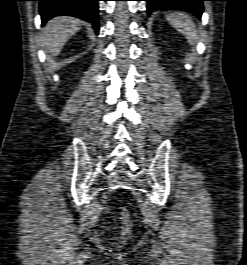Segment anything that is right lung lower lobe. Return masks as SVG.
<instances>
[{"mask_svg":"<svg viewBox=\"0 0 247 265\" xmlns=\"http://www.w3.org/2000/svg\"><path fill=\"white\" fill-rule=\"evenodd\" d=\"M42 24L59 15L80 18L92 24L96 34L98 26V1L100 0H38Z\"/></svg>","mask_w":247,"mask_h":265,"instance_id":"obj_1","label":"right lung lower lobe"}]
</instances>
